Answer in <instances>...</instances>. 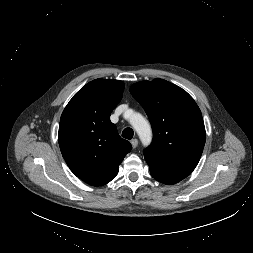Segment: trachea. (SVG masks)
Masks as SVG:
<instances>
[{"instance_id": "trachea-1", "label": "trachea", "mask_w": 253, "mask_h": 253, "mask_svg": "<svg viewBox=\"0 0 253 253\" xmlns=\"http://www.w3.org/2000/svg\"><path fill=\"white\" fill-rule=\"evenodd\" d=\"M134 132L131 128H125L122 132V137L125 139H132Z\"/></svg>"}]
</instances>
